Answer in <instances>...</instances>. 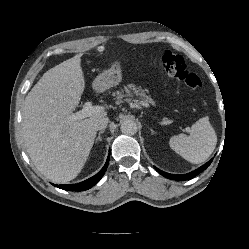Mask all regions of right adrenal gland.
Returning a JSON list of instances; mask_svg holds the SVG:
<instances>
[{
    "label": "right adrenal gland",
    "mask_w": 249,
    "mask_h": 249,
    "mask_svg": "<svg viewBox=\"0 0 249 249\" xmlns=\"http://www.w3.org/2000/svg\"><path fill=\"white\" fill-rule=\"evenodd\" d=\"M104 132H105V130H101V131L98 133V137H97V139H96V143H97L98 141H102V139H101V134L104 133Z\"/></svg>",
    "instance_id": "right-adrenal-gland-1"
}]
</instances>
